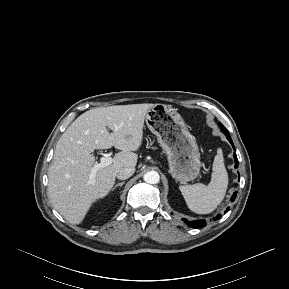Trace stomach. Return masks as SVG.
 <instances>
[{
	"mask_svg": "<svg viewBox=\"0 0 289 289\" xmlns=\"http://www.w3.org/2000/svg\"><path fill=\"white\" fill-rule=\"evenodd\" d=\"M145 121L167 156L172 177L180 183L195 179L200 171V153L181 115L169 105L154 104Z\"/></svg>",
	"mask_w": 289,
	"mask_h": 289,
	"instance_id": "0dacf381",
	"label": "stomach"
}]
</instances>
